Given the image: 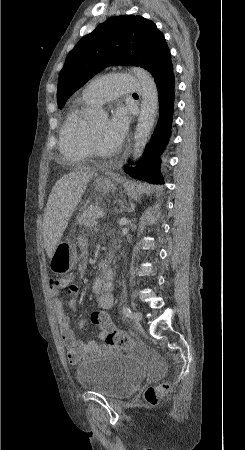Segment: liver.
<instances>
[{"label": "liver", "instance_id": "1", "mask_svg": "<svg viewBox=\"0 0 245 450\" xmlns=\"http://www.w3.org/2000/svg\"><path fill=\"white\" fill-rule=\"evenodd\" d=\"M95 169L82 168L60 178L53 186L43 216V237L51 259Z\"/></svg>", "mask_w": 245, "mask_h": 450}]
</instances>
